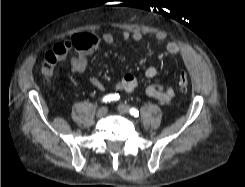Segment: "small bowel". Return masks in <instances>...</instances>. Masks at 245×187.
<instances>
[{
  "instance_id": "obj_1",
  "label": "small bowel",
  "mask_w": 245,
  "mask_h": 187,
  "mask_svg": "<svg viewBox=\"0 0 245 187\" xmlns=\"http://www.w3.org/2000/svg\"><path fill=\"white\" fill-rule=\"evenodd\" d=\"M144 37H145L144 34L140 31H133V32L124 31L121 34V38L123 41L131 40L134 42H140L144 39ZM150 38L156 42L162 43L166 40V35L163 32H155L150 35ZM94 39L99 40L105 44H111L115 40L114 35L111 33H104L99 37H94ZM58 44H60V42L57 43L56 45ZM165 49L171 55L181 56L187 65H191L195 61V55L193 51L187 46L179 42L170 41L166 44ZM64 61L68 62L71 69L74 70L75 72H83L88 67L87 56L81 52H77L73 54L69 60H67L65 57ZM157 73L158 70L156 67L149 66L145 71V77L147 79H153L157 76ZM90 82L94 87L98 88L99 90H105L106 88L105 85L96 78H91ZM137 86H138L137 78L132 74H126L122 77L120 81L116 83L115 89L123 92H132L136 89ZM146 93L148 96L162 102H168L174 97L173 88L171 87L164 88L162 85L158 83L148 84L146 87Z\"/></svg>"
}]
</instances>
